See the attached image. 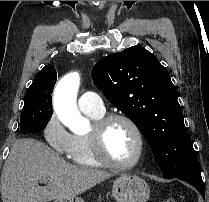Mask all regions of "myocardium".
I'll list each match as a JSON object with an SVG mask.
<instances>
[{
	"instance_id": "1",
	"label": "myocardium",
	"mask_w": 209,
	"mask_h": 202,
	"mask_svg": "<svg viewBox=\"0 0 209 202\" xmlns=\"http://www.w3.org/2000/svg\"><path fill=\"white\" fill-rule=\"evenodd\" d=\"M117 121H122L127 123L134 131L138 140V150L137 155L133 162L128 164H122L112 160L106 153L104 147V136L106 134L109 126ZM91 149L93 151L96 159L104 166L115 169V170H131L136 168L143 160L145 154V137L144 133L139 127V125L129 116L125 114H111L108 116H103L102 118L96 120L93 127L88 134Z\"/></svg>"
}]
</instances>
